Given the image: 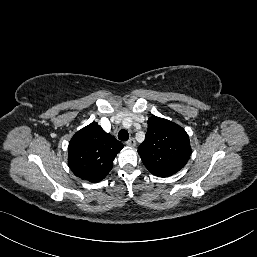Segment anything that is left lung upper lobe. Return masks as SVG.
<instances>
[{
    "label": "left lung upper lobe",
    "mask_w": 257,
    "mask_h": 257,
    "mask_svg": "<svg viewBox=\"0 0 257 257\" xmlns=\"http://www.w3.org/2000/svg\"><path fill=\"white\" fill-rule=\"evenodd\" d=\"M138 153L155 176L169 177L181 170L191 155L186 131L174 122L152 116L148 119L145 140Z\"/></svg>",
    "instance_id": "left-lung-upper-lobe-1"
}]
</instances>
